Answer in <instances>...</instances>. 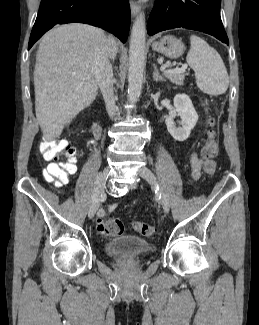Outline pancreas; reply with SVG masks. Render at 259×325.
Instances as JSON below:
<instances>
[{
    "label": "pancreas",
    "mask_w": 259,
    "mask_h": 325,
    "mask_svg": "<svg viewBox=\"0 0 259 325\" xmlns=\"http://www.w3.org/2000/svg\"><path fill=\"white\" fill-rule=\"evenodd\" d=\"M164 76L172 83L182 86L184 84L185 75L183 73H164Z\"/></svg>",
    "instance_id": "obj_1"
}]
</instances>
